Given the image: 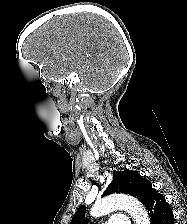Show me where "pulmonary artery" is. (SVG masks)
Masks as SVG:
<instances>
[{"mask_svg":"<svg viewBox=\"0 0 187 224\" xmlns=\"http://www.w3.org/2000/svg\"><path fill=\"white\" fill-rule=\"evenodd\" d=\"M102 224H130V223L124 218H117L114 216Z\"/></svg>","mask_w":187,"mask_h":224,"instance_id":"1","label":"pulmonary artery"}]
</instances>
